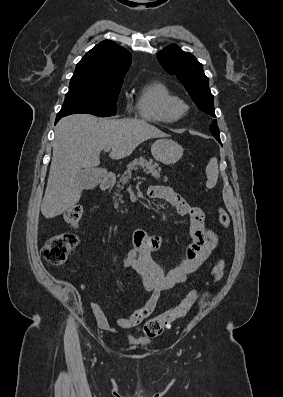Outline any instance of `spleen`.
<instances>
[{"instance_id":"obj_1","label":"spleen","mask_w":283,"mask_h":397,"mask_svg":"<svg viewBox=\"0 0 283 397\" xmlns=\"http://www.w3.org/2000/svg\"><path fill=\"white\" fill-rule=\"evenodd\" d=\"M206 175H207V187L213 188L218 180L219 169H218V161L216 157L210 159L208 165L206 166Z\"/></svg>"}]
</instances>
